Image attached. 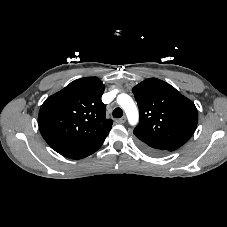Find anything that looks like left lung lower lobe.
Wrapping results in <instances>:
<instances>
[{"instance_id":"0a47b994","label":"left lung lower lobe","mask_w":227,"mask_h":227,"mask_svg":"<svg viewBox=\"0 0 227 227\" xmlns=\"http://www.w3.org/2000/svg\"><path fill=\"white\" fill-rule=\"evenodd\" d=\"M138 144L143 150H145V151H147L149 153H152V154H162V153H164L163 151L152 149V148H149L147 146H144L141 143H138Z\"/></svg>"}]
</instances>
